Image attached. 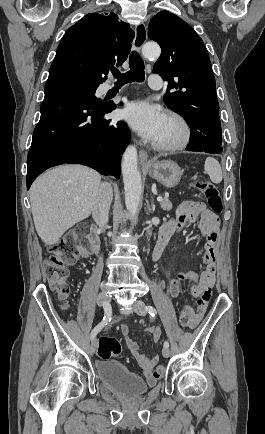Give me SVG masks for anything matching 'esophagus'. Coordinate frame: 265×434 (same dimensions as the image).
I'll return each instance as SVG.
<instances>
[{"label":"esophagus","mask_w":265,"mask_h":434,"mask_svg":"<svg viewBox=\"0 0 265 434\" xmlns=\"http://www.w3.org/2000/svg\"><path fill=\"white\" fill-rule=\"evenodd\" d=\"M135 31V38L133 42V50H136V52H139L146 42L148 36H147V29L143 22L135 25L134 28ZM139 160L141 165H146L148 162V153L146 150L141 149L139 151Z\"/></svg>","instance_id":"obj_1"}]
</instances>
